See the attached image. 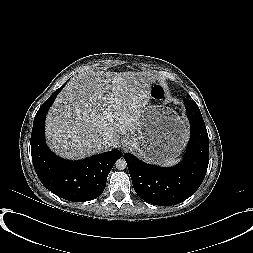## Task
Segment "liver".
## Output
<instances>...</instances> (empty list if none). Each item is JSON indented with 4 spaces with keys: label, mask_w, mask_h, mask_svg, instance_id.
Returning a JSON list of instances; mask_svg holds the SVG:
<instances>
[{
    "label": "liver",
    "mask_w": 253,
    "mask_h": 253,
    "mask_svg": "<svg viewBox=\"0 0 253 253\" xmlns=\"http://www.w3.org/2000/svg\"><path fill=\"white\" fill-rule=\"evenodd\" d=\"M145 72L90 71L73 77L58 95L46 118L49 146L58 155L81 159L116 148L121 135L137 131L151 98ZM110 137L109 147L102 145Z\"/></svg>",
    "instance_id": "obj_1"
}]
</instances>
